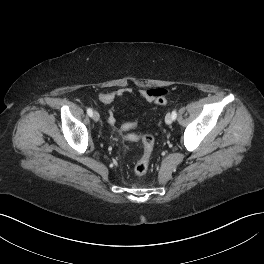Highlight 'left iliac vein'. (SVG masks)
<instances>
[{
    "label": "left iliac vein",
    "instance_id": "left-iliac-vein-1",
    "mask_svg": "<svg viewBox=\"0 0 264 264\" xmlns=\"http://www.w3.org/2000/svg\"><path fill=\"white\" fill-rule=\"evenodd\" d=\"M165 122L166 124L170 125L173 122V118L172 115L170 113H168L165 117Z\"/></svg>",
    "mask_w": 264,
    "mask_h": 264
}]
</instances>
